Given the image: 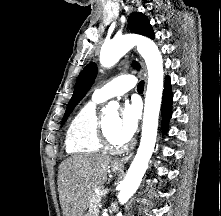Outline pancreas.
<instances>
[{
  "instance_id": "cf45deb5",
  "label": "pancreas",
  "mask_w": 221,
  "mask_h": 216,
  "mask_svg": "<svg viewBox=\"0 0 221 216\" xmlns=\"http://www.w3.org/2000/svg\"><path fill=\"white\" fill-rule=\"evenodd\" d=\"M102 193L95 194L92 193L89 202V213L90 216H98L99 207L101 206Z\"/></svg>"
}]
</instances>
